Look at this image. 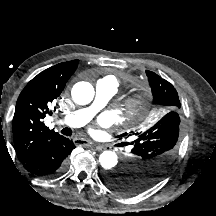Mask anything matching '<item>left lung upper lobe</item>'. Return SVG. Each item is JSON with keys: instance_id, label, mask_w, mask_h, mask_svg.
Listing matches in <instances>:
<instances>
[{"instance_id": "obj_1", "label": "left lung upper lobe", "mask_w": 216, "mask_h": 216, "mask_svg": "<svg viewBox=\"0 0 216 216\" xmlns=\"http://www.w3.org/2000/svg\"><path fill=\"white\" fill-rule=\"evenodd\" d=\"M153 94V102L163 108L146 131L130 132L135 140L122 166L110 174L107 185L121 194L141 193L161 180L174 162L185 119L178 111L180 100L171 83L151 71H146Z\"/></svg>"}]
</instances>
